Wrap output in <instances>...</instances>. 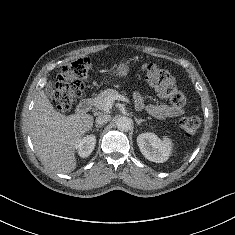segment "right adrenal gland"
Wrapping results in <instances>:
<instances>
[{"instance_id":"right-adrenal-gland-1","label":"right adrenal gland","mask_w":235,"mask_h":235,"mask_svg":"<svg viewBox=\"0 0 235 235\" xmlns=\"http://www.w3.org/2000/svg\"><path fill=\"white\" fill-rule=\"evenodd\" d=\"M96 128H101V125H95Z\"/></svg>"}]
</instances>
